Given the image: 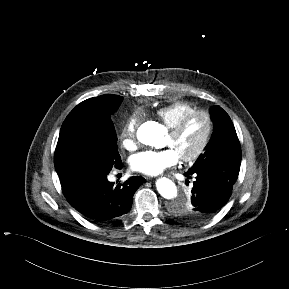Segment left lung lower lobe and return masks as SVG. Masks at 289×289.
Here are the masks:
<instances>
[{
	"instance_id": "obj_1",
	"label": "left lung lower lobe",
	"mask_w": 289,
	"mask_h": 289,
	"mask_svg": "<svg viewBox=\"0 0 289 289\" xmlns=\"http://www.w3.org/2000/svg\"><path fill=\"white\" fill-rule=\"evenodd\" d=\"M191 175L196 180L193 182L191 198L188 201L192 211L190 222L205 221L215 215L228 201L238 173L216 168L185 173L188 179Z\"/></svg>"
}]
</instances>
